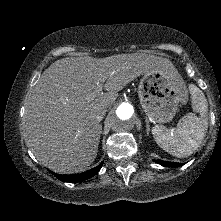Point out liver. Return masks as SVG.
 Returning a JSON list of instances; mask_svg holds the SVG:
<instances>
[{
	"label": "liver",
	"instance_id": "obj_1",
	"mask_svg": "<svg viewBox=\"0 0 221 221\" xmlns=\"http://www.w3.org/2000/svg\"><path fill=\"white\" fill-rule=\"evenodd\" d=\"M172 68L169 59L144 53L55 61L43 72L25 102L26 144L37 160L54 172L84 171L98 152L101 127L97 113L110 107L118 92L135 78ZM102 77L106 78L107 92L91 98Z\"/></svg>",
	"mask_w": 221,
	"mask_h": 221
}]
</instances>
